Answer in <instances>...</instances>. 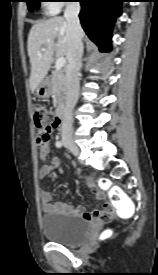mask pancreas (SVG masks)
<instances>
[{"label": "pancreas", "instance_id": "1", "mask_svg": "<svg viewBox=\"0 0 158 275\" xmlns=\"http://www.w3.org/2000/svg\"><path fill=\"white\" fill-rule=\"evenodd\" d=\"M50 91L58 103L65 100L66 78L62 71H54L50 79Z\"/></svg>", "mask_w": 158, "mask_h": 275}]
</instances>
